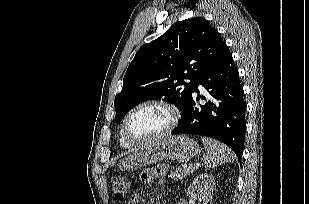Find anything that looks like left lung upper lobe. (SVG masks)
<instances>
[{"label": "left lung upper lobe", "instance_id": "obj_1", "mask_svg": "<svg viewBox=\"0 0 309 204\" xmlns=\"http://www.w3.org/2000/svg\"><path fill=\"white\" fill-rule=\"evenodd\" d=\"M225 48L222 37L206 19L178 21L136 53L114 100L115 121L119 123L130 109L146 100L164 98L182 111L201 75Z\"/></svg>", "mask_w": 309, "mask_h": 204}]
</instances>
